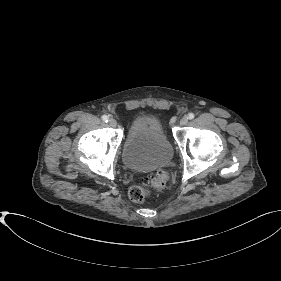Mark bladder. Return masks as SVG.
<instances>
[{
  "mask_svg": "<svg viewBox=\"0 0 281 281\" xmlns=\"http://www.w3.org/2000/svg\"><path fill=\"white\" fill-rule=\"evenodd\" d=\"M173 149L159 118L143 115L129 128L123 151L125 164L136 171H151L170 163Z\"/></svg>",
  "mask_w": 281,
  "mask_h": 281,
  "instance_id": "1",
  "label": "bladder"
}]
</instances>
